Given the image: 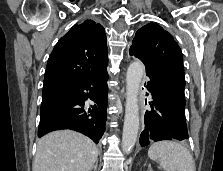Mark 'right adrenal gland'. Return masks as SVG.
<instances>
[{"label": "right adrenal gland", "mask_w": 223, "mask_h": 171, "mask_svg": "<svg viewBox=\"0 0 223 171\" xmlns=\"http://www.w3.org/2000/svg\"><path fill=\"white\" fill-rule=\"evenodd\" d=\"M97 166H98V160L96 161L95 165L92 166V168L90 169V171H92V170L96 171Z\"/></svg>", "instance_id": "2a0ac1e0"}]
</instances>
